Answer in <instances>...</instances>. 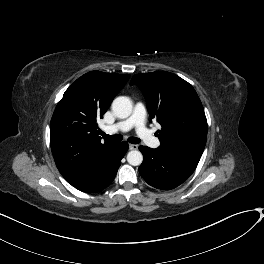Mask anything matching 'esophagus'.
<instances>
[{"mask_svg":"<svg viewBox=\"0 0 264 264\" xmlns=\"http://www.w3.org/2000/svg\"><path fill=\"white\" fill-rule=\"evenodd\" d=\"M129 149L130 150H136V149H138V145H136V144H129Z\"/></svg>","mask_w":264,"mask_h":264,"instance_id":"34e87169","label":"esophagus"}]
</instances>
